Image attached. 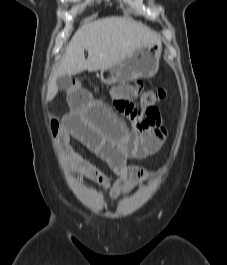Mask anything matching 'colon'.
I'll use <instances>...</instances> for the list:
<instances>
[{
    "label": "colon",
    "mask_w": 227,
    "mask_h": 265,
    "mask_svg": "<svg viewBox=\"0 0 227 265\" xmlns=\"http://www.w3.org/2000/svg\"><path fill=\"white\" fill-rule=\"evenodd\" d=\"M69 87H81V85L78 82H74ZM69 87L66 90L67 96H70ZM167 93L165 88L146 91L141 97L140 106H135L137 108L136 112L123 113L130 117L134 122L135 128L140 132L157 128L161 124V117L157 104L166 98ZM113 97L114 99H128L126 97V92L121 88L114 90ZM51 128L54 135L60 138L62 125L58 120L53 119L51 121Z\"/></svg>",
    "instance_id": "colon-1"
}]
</instances>
